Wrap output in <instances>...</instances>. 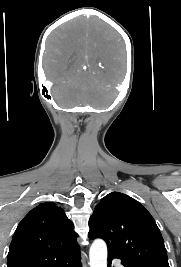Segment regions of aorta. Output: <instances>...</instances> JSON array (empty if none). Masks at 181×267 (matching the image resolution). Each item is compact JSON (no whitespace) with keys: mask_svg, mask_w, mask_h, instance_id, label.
I'll return each mask as SVG.
<instances>
[{"mask_svg":"<svg viewBox=\"0 0 181 267\" xmlns=\"http://www.w3.org/2000/svg\"><path fill=\"white\" fill-rule=\"evenodd\" d=\"M90 267H107V246L101 239L92 243L89 251Z\"/></svg>","mask_w":181,"mask_h":267,"instance_id":"aorta-1","label":"aorta"}]
</instances>
